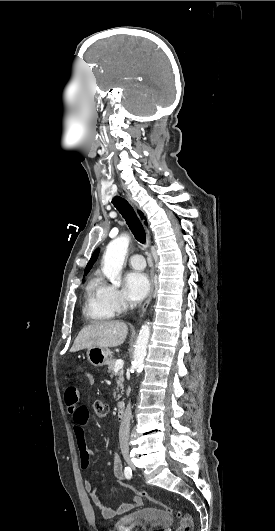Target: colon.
<instances>
[{"label":"colon","instance_id":"obj_1","mask_svg":"<svg viewBox=\"0 0 275 531\" xmlns=\"http://www.w3.org/2000/svg\"><path fill=\"white\" fill-rule=\"evenodd\" d=\"M94 409H95V414L97 417L99 418L106 417L108 410H107V405L103 401L96 400L94 403ZM127 486L131 488V492L133 494H136L137 496H142V499H146L155 505L162 506L166 512L176 513V516L179 522V529H178L179 531H194L193 521L189 514L184 513L179 509L175 510L167 506L161 500L153 498L149 494L145 493V491L143 489H140V487H133V485L131 484H128Z\"/></svg>","mask_w":275,"mask_h":531}]
</instances>
